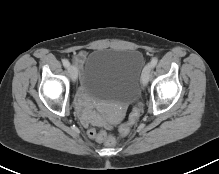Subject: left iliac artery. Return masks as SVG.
<instances>
[{"instance_id": "left-iliac-artery-1", "label": "left iliac artery", "mask_w": 219, "mask_h": 174, "mask_svg": "<svg viewBox=\"0 0 219 174\" xmlns=\"http://www.w3.org/2000/svg\"><path fill=\"white\" fill-rule=\"evenodd\" d=\"M157 62H158V58H157V57L152 58V60H151V66H152V67H155V66L157 65Z\"/></svg>"}]
</instances>
